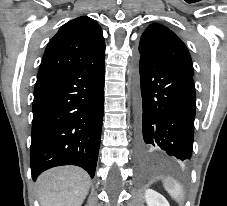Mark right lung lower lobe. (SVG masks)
<instances>
[{
	"mask_svg": "<svg viewBox=\"0 0 227 206\" xmlns=\"http://www.w3.org/2000/svg\"><path fill=\"white\" fill-rule=\"evenodd\" d=\"M104 62L37 80L33 100L32 178L60 165H77L93 178L100 145Z\"/></svg>",
	"mask_w": 227,
	"mask_h": 206,
	"instance_id": "98d812e1",
	"label": "right lung lower lobe"
}]
</instances>
